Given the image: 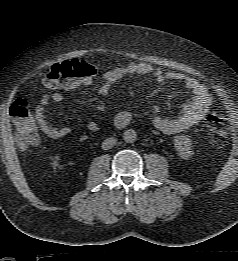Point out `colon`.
<instances>
[{
  "label": "colon",
  "mask_w": 238,
  "mask_h": 261,
  "mask_svg": "<svg viewBox=\"0 0 238 261\" xmlns=\"http://www.w3.org/2000/svg\"><path fill=\"white\" fill-rule=\"evenodd\" d=\"M97 72V66L84 60L72 59L53 65L44 78L46 86L53 89H67L76 81L93 77ZM13 119L15 138L17 145L22 150L39 143L40 137L37 131L34 114L28 103L18 99L10 108ZM207 124L213 140L222 144L228 133V119L218 110H213L207 117Z\"/></svg>",
  "instance_id": "1"
}]
</instances>
